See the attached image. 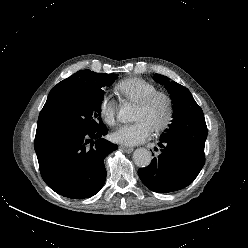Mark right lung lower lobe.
<instances>
[{"instance_id":"obj_1","label":"right lung lower lobe","mask_w":248,"mask_h":248,"mask_svg":"<svg viewBox=\"0 0 248 248\" xmlns=\"http://www.w3.org/2000/svg\"><path fill=\"white\" fill-rule=\"evenodd\" d=\"M107 133L106 126L96 131L37 128L34 147L45 183L72 199L98 193L107 174L104 159L118 149L102 138Z\"/></svg>"}]
</instances>
